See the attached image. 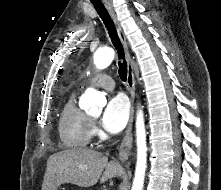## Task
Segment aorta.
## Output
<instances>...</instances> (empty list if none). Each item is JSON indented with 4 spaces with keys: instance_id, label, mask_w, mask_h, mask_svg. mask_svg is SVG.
<instances>
[{
    "instance_id": "obj_1",
    "label": "aorta",
    "mask_w": 221,
    "mask_h": 190,
    "mask_svg": "<svg viewBox=\"0 0 221 190\" xmlns=\"http://www.w3.org/2000/svg\"><path fill=\"white\" fill-rule=\"evenodd\" d=\"M114 57L115 53L113 49H98L94 54V64L97 69H105L112 63ZM82 98L90 114L96 113L99 107H102L106 103L105 97L93 88H88ZM136 142L137 162L131 190H143L147 167V145L144 115L141 109L137 112L136 116Z\"/></svg>"
}]
</instances>
